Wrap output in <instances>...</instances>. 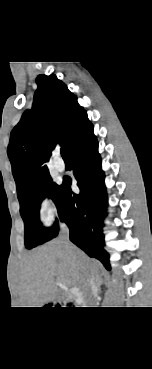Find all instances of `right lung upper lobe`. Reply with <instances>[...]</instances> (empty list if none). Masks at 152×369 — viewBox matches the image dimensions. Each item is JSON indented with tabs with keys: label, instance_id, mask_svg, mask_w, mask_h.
<instances>
[{
	"label": "right lung upper lobe",
	"instance_id": "obj_1",
	"mask_svg": "<svg viewBox=\"0 0 152 369\" xmlns=\"http://www.w3.org/2000/svg\"><path fill=\"white\" fill-rule=\"evenodd\" d=\"M36 82L32 108L12 130L7 150L18 199L49 175L47 163L57 145L69 153L93 129L76 96L54 74L40 75Z\"/></svg>",
	"mask_w": 152,
	"mask_h": 369
}]
</instances>
